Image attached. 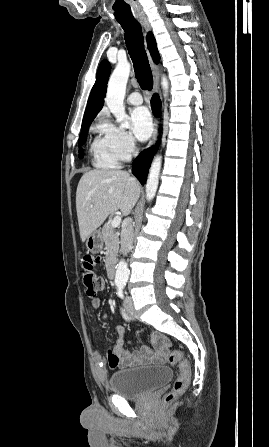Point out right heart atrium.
<instances>
[{"label": "right heart atrium", "instance_id": "obj_1", "mask_svg": "<svg viewBox=\"0 0 269 447\" xmlns=\"http://www.w3.org/2000/svg\"><path fill=\"white\" fill-rule=\"evenodd\" d=\"M98 128L110 137L113 149L120 159H127L135 153L136 143L129 132L110 121H101Z\"/></svg>", "mask_w": 269, "mask_h": 447}]
</instances>
